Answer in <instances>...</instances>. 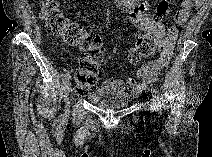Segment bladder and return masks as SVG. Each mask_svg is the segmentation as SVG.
I'll return each instance as SVG.
<instances>
[{
	"label": "bladder",
	"instance_id": "1",
	"mask_svg": "<svg viewBox=\"0 0 212 157\" xmlns=\"http://www.w3.org/2000/svg\"><path fill=\"white\" fill-rule=\"evenodd\" d=\"M131 97L125 93H113L100 100L95 105L103 109H121L126 107Z\"/></svg>",
	"mask_w": 212,
	"mask_h": 157
}]
</instances>
